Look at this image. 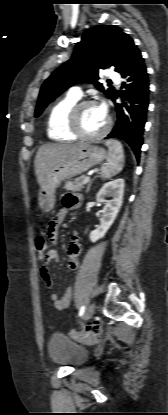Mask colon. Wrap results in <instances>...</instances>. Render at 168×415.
I'll list each match as a JSON object with an SVG mask.
<instances>
[{"mask_svg": "<svg viewBox=\"0 0 168 415\" xmlns=\"http://www.w3.org/2000/svg\"><path fill=\"white\" fill-rule=\"evenodd\" d=\"M47 234L45 232L39 234L35 238V248L37 250V263L40 270L46 269V246ZM105 334V329L99 323L86 325L77 331H71L70 335L79 341H92Z\"/></svg>", "mask_w": 168, "mask_h": 415, "instance_id": "1", "label": "colon"}]
</instances>
